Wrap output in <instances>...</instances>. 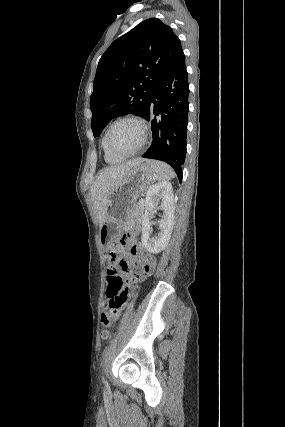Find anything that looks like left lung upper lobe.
Returning a JSON list of instances; mask_svg holds the SVG:
<instances>
[{
	"mask_svg": "<svg viewBox=\"0 0 285 427\" xmlns=\"http://www.w3.org/2000/svg\"><path fill=\"white\" fill-rule=\"evenodd\" d=\"M182 51L173 30L150 18L116 39L99 60L90 98L94 136L114 117L143 116L151 95Z\"/></svg>",
	"mask_w": 285,
	"mask_h": 427,
	"instance_id": "obj_1",
	"label": "left lung upper lobe"
}]
</instances>
